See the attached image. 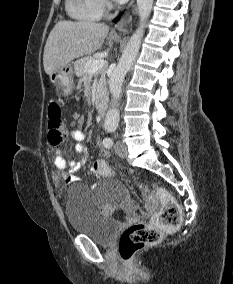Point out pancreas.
Instances as JSON below:
<instances>
[{"label":"pancreas","instance_id":"1","mask_svg":"<svg viewBox=\"0 0 233 284\" xmlns=\"http://www.w3.org/2000/svg\"><path fill=\"white\" fill-rule=\"evenodd\" d=\"M97 58L88 56L77 60L74 64L75 74L80 78H85L90 75L89 68L86 66L89 61L96 60ZM100 74V79L97 83L96 91V102L103 103L106 101V82H105V73L104 71H97L94 73V77H97Z\"/></svg>","mask_w":233,"mask_h":284}]
</instances>
